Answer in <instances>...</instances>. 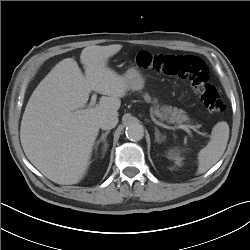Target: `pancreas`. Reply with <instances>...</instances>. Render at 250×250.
Here are the masks:
<instances>
[{"label":"pancreas","instance_id":"obj_1","mask_svg":"<svg viewBox=\"0 0 250 250\" xmlns=\"http://www.w3.org/2000/svg\"><path fill=\"white\" fill-rule=\"evenodd\" d=\"M144 99L146 101H150L151 98L148 94L144 95ZM154 103H156V101H154ZM152 113L159 118L160 120H167L171 123H182L185 121H188V115L186 114L185 111H183L182 109H178L176 107H171V106H162L161 108H159V106L157 105L155 107L154 110H152Z\"/></svg>","mask_w":250,"mask_h":250}]
</instances>
